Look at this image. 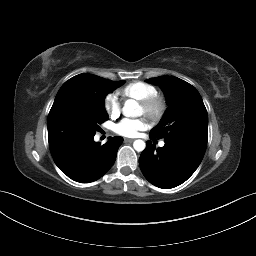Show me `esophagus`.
Here are the masks:
<instances>
[{"instance_id": "obj_1", "label": "esophagus", "mask_w": 256, "mask_h": 256, "mask_svg": "<svg viewBox=\"0 0 256 256\" xmlns=\"http://www.w3.org/2000/svg\"><path fill=\"white\" fill-rule=\"evenodd\" d=\"M134 141V139H130V138H125L124 139V142H133Z\"/></svg>"}]
</instances>
